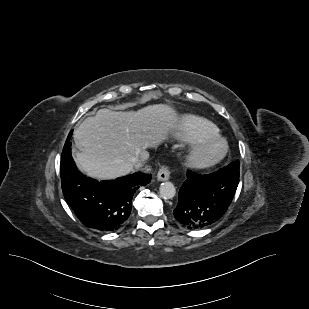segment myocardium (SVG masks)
I'll use <instances>...</instances> for the list:
<instances>
[{
	"mask_svg": "<svg viewBox=\"0 0 309 309\" xmlns=\"http://www.w3.org/2000/svg\"><path fill=\"white\" fill-rule=\"evenodd\" d=\"M228 151L227 142L215 135L191 143L184 156L185 164L193 169H206L220 162Z\"/></svg>",
	"mask_w": 309,
	"mask_h": 309,
	"instance_id": "f54148a6",
	"label": "myocardium"
}]
</instances>
